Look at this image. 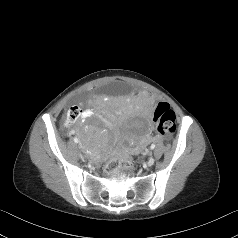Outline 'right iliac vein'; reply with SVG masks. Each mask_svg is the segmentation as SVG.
<instances>
[{"label":"right iliac vein","instance_id":"right-iliac-vein-1","mask_svg":"<svg viewBox=\"0 0 238 238\" xmlns=\"http://www.w3.org/2000/svg\"><path fill=\"white\" fill-rule=\"evenodd\" d=\"M80 157H81V161H82V162H85V159H84L83 154H80Z\"/></svg>","mask_w":238,"mask_h":238}]
</instances>
